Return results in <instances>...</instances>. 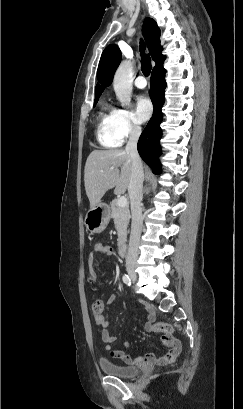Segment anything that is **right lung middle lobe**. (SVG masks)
I'll list each match as a JSON object with an SVG mask.
<instances>
[{
	"instance_id": "dd1d6c3e",
	"label": "right lung middle lobe",
	"mask_w": 243,
	"mask_h": 409,
	"mask_svg": "<svg viewBox=\"0 0 243 409\" xmlns=\"http://www.w3.org/2000/svg\"><path fill=\"white\" fill-rule=\"evenodd\" d=\"M98 99H99V97H96V98H95V101H94V106L96 105V103H97Z\"/></svg>"
}]
</instances>
